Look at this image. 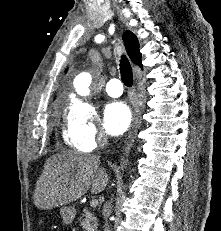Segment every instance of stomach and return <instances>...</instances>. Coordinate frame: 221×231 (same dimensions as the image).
<instances>
[{
    "instance_id": "1",
    "label": "stomach",
    "mask_w": 221,
    "mask_h": 231,
    "mask_svg": "<svg viewBox=\"0 0 221 231\" xmlns=\"http://www.w3.org/2000/svg\"><path fill=\"white\" fill-rule=\"evenodd\" d=\"M60 214L66 224H70L75 219L76 210L72 206H64L60 209Z\"/></svg>"
}]
</instances>
